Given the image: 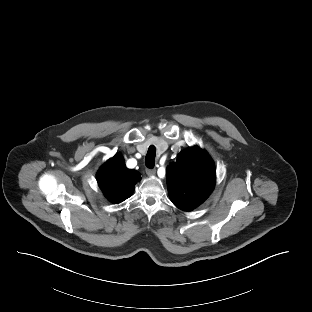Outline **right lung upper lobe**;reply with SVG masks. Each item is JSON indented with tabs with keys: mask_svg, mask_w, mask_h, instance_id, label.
<instances>
[{
	"mask_svg": "<svg viewBox=\"0 0 312 312\" xmlns=\"http://www.w3.org/2000/svg\"><path fill=\"white\" fill-rule=\"evenodd\" d=\"M140 179V173L128 169L119 154L109 159L97 173V181L104 195L115 204L130 197Z\"/></svg>",
	"mask_w": 312,
	"mask_h": 312,
	"instance_id": "cb5924a9",
	"label": "right lung upper lobe"
}]
</instances>
